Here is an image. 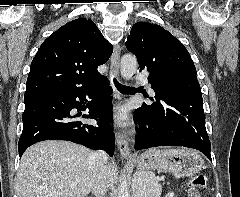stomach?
<instances>
[{
    "mask_svg": "<svg viewBox=\"0 0 240 197\" xmlns=\"http://www.w3.org/2000/svg\"><path fill=\"white\" fill-rule=\"evenodd\" d=\"M139 170L162 168L177 178L188 177L198 173L203 167L201 156L192 150H149L132 161ZM138 196H142L144 189L136 185Z\"/></svg>",
    "mask_w": 240,
    "mask_h": 197,
    "instance_id": "obj_1",
    "label": "stomach"
}]
</instances>
